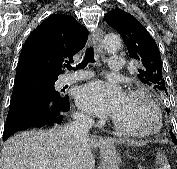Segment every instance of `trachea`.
<instances>
[{"label": "trachea", "instance_id": "1", "mask_svg": "<svg viewBox=\"0 0 177 169\" xmlns=\"http://www.w3.org/2000/svg\"><path fill=\"white\" fill-rule=\"evenodd\" d=\"M89 62L95 63L94 50L92 47H89L86 50L85 57H84L83 61L81 63H79L78 65H76V67H72L70 65H67L66 67L69 70L76 71V70L85 68Z\"/></svg>", "mask_w": 177, "mask_h": 169}]
</instances>
